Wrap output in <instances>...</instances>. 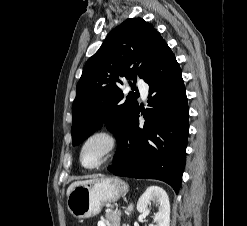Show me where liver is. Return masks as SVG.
<instances>
[{
  "label": "liver",
  "instance_id": "6515ba94",
  "mask_svg": "<svg viewBox=\"0 0 247 226\" xmlns=\"http://www.w3.org/2000/svg\"><path fill=\"white\" fill-rule=\"evenodd\" d=\"M84 182H86V181H77V182L72 183V184L68 187V189H67V196L69 195V193L71 192V190H72L76 185H79V184L84 183Z\"/></svg>",
  "mask_w": 247,
  "mask_h": 226
}]
</instances>
